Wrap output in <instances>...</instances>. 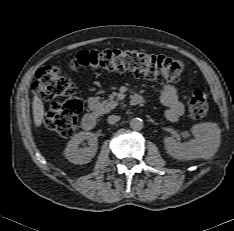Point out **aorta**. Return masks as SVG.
Here are the masks:
<instances>
[{
	"mask_svg": "<svg viewBox=\"0 0 234 231\" xmlns=\"http://www.w3.org/2000/svg\"><path fill=\"white\" fill-rule=\"evenodd\" d=\"M144 123L143 120L141 118H133L130 121V128L135 130V131H139L143 128Z\"/></svg>",
	"mask_w": 234,
	"mask_h": 231,
	"instance_id": "762f6f07",
	"label": "aorta"
}]
</instances>
